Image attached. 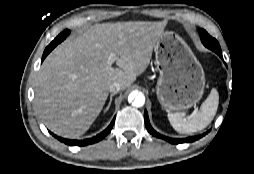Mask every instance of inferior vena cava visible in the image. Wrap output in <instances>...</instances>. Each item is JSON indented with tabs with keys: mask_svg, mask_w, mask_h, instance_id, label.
<instances>
[{
	"mask_svg": "<svg viewBox=\"0 0 254 174\" xmlns=\"http://www.w3.org/2000/svg\"><path fill=\"white\" fill-rule=\"evenodd\" d=\"M121 90V84L117 81H114L109 86V91L112 93H117Z\"/></svg>",
	"mask_w": 254,
	"mask_h": 174,
	"instance_id": "obj_1",
	"label": "inferior vena cava"
}]
</instances>
